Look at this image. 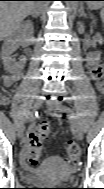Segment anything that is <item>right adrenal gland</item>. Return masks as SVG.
<instances>
[{
    "label": "right adrenal gland",
    "instance_id": "2a0ac1e0",
    "mask_svg": "<svg viewBox=\"0 0 104 189\" xmlns=\"http://www.w3.org/2000/svg\"><path fill=\"white\" fill-rule=\"evenodd\" d=\"M31 16L34 17V18L38 17V15H36L34 12L31 13Z\"/></svg>",
    "mask_w": 104,
    "mask_h": 189
}]
</instances>
